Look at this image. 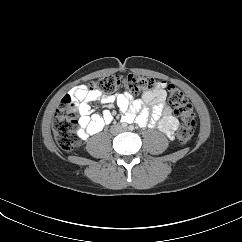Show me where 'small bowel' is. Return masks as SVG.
Here are the masks:
<instances>
[{
    "label": "small bowel",
    "mask_w": 242,
    "mask_h": 242,
    "mask_svg": "<svg viewBox=\"0 0 242 242\" xmlns=\"http://www.w3.org/2000/svg\"><path fill=\"white\" fill-rule=\"evenodd\" d=\"M73 99L67 104L73 118L77 116V136L86 140L89 136L99 133L112 119V113L108 110L103 115L93 113L90 103L99 101L102 104H112L116 101L120 111L124 114L123 120L131 123L136 122L140 126H154L158 119L163 116L164 122L160 126L161 131L170 139L174 137L179 123L172 115V109L165 105L167 92L165 83H159L151 91L145 94L143 100H133L131 95L124 93L117 97L103 96L97 91H89L85 86H79L73 94ZM147 103L150 109H145Z\"/></svg>",
    "instance_id": "1"
}]
</instances>
